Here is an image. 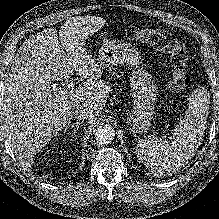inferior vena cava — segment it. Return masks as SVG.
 <instances>
[{
    "label": "inferior vena cava",
    "mask_w": 219,
    "mask_h": 219,
    "mask_svg": "<svg viewBox=\"0 0 219 219\" xmlns=\"http://www.w3.org/2000/svg\"><path fill=\"white\" fill-rule=\"evenodd\" d=\"M73 114L76 115L77 119L82 120V119L90 118L93 114V111L85 106L76 105Z\"/></svg>",
    "instance_id": "1"
}]
</instances>
